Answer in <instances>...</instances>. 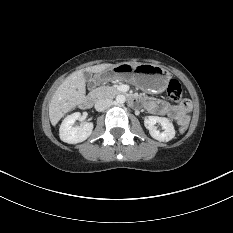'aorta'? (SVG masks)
Returning <instances> with one entry per match:
<instances>
[{"mask_svg": "<svg viewBox=\"0 0 233 233\" xmlns=\"http://www.w3.org/2000/svg\"><path fill=\"white\" fill-rule=\"evenodd\" d=\"M125 101H126V98H125L124 95H117V97H116V102H117L118 104H123V103H125Z\"/></svg>", "mask_w": 233, "mask_h": 233, "instance_id": "obj_1", "label": "aorta"}]
</instances>
